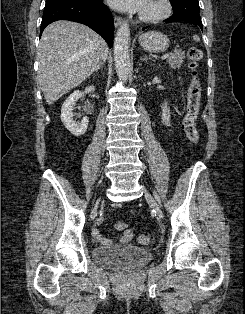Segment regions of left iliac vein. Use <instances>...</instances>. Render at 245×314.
I'll use <instances>...</instances> for the list:
<instances>
[{"mask_svg":"<svg viewBox=\"0 0 245 314\" xmlns=\"http://www.w3.org/2000/svg\"><path fill=\"white\" fill-rule=\"evenodd\" d=\"M144 196L147 200V202L151 205V207L155 210L157 216L160 219H163V212L161 210V207L157 203V201L154 199V197L149 193V191L143 187Z\"/></svg>","mask_w":245,"mask_h":314,"instance_id":"4c4485c4","label":"left iliac vein"}]
</instances>
